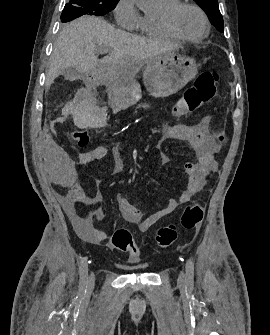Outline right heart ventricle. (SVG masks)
<instances>
[{
    "label": "right heart ventricle",
    "instance_id": "1",
    "mask_svg": "<svg viewBox=\"0 0 270 335\" xmlns=\"http://www.w3.org/2000/svg\"><path fill=\"white\" fill-rule=\"evenodd\" d=\"M157 1L161 7V13L165 9H168L179 2V0H174L170 2H164L160 0ZM158 17L141 15L137 29H139L142 33L146 34L151 38L164 39V40L177 39L164 29V27L160 24Z\"/></svg>",
    "mask_w": 270,
    "mask_h": 335
}]
</instances>
